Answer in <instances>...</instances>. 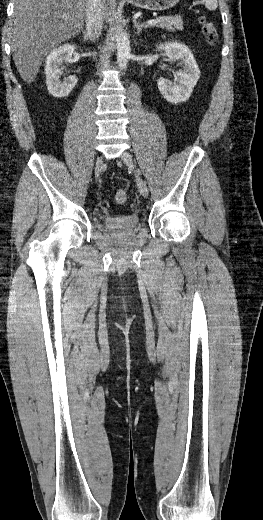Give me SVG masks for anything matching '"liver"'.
I'll return each instance as SVG.
<instances>
[{"label":"liver","mask_w":263,"mask_h":520,"mask_svg":"<svg viewBox=\"0 0 263 520\" xmlns=\"http://www.w3.org/2000/svg\"><path fill=\"white\" fill-rule=\"evenodd\" d=\"M115 7L116 0H103L106 21ZM86 9L87 0H14L9 31L13 60L25 82L34 81L44 57L56 46L78 34Z\"/></svg>","instance_id":"6515ba94"}]
</instances>
